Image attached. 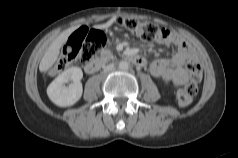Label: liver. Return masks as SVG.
<instances>
[{
	"label": "liver",
	"instance_id": "1",
	"mask_svg": "<svg viewBox=\"0 0 238 158\" xmlns=\"http://www.w3.org/2000/svg\"><path fill=\"white\" fill-rule=\"evenodd\" d=\"M115 20H110L105 24L97 26V28L105 29L110 27ZM78 27H71L65 31H63L48 47L45 52L43 58L41 59L39 69L44 72L47 71L57 60L60 54V48L66 42L67 38L70 36L72 32H74Z\"/></svg>",
	"mask_w": 238,
	"mask_h": 158
}]
</instances>
